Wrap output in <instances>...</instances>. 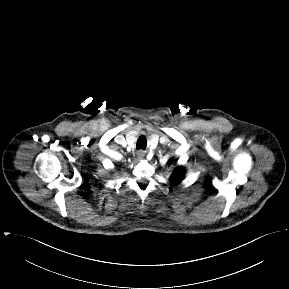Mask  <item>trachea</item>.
Instances as JSON below:
<instances>
[{
  "instance_id": "obj_1",
  "label": "trachea",
  "mask_w": 289,
  "mask_h": 289,
  "mask_svg": "<svg viewBox=\"0 0 289 289\" xmlns=\"http://www.w3.org/2000/svg\"><path fill=\"white\" fill-rule=\"evenodd\" d=\"M147 146V140L144 136H141L137 140V149H145Z\"/></svg>"
}]
</instances>
